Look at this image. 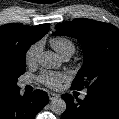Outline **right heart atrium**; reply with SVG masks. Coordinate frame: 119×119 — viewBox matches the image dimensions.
Returning <instances> with one entry per match:
<instances>
[{"instance_id": "right-heart-atrium-1", "label": "right heart atrium", "mask_w": 119, "mask_h": 119, "mask_svg": "<svg viewBox=\"0 0 119 119\" xmlns=\"http://www.w3.org/2000/svg\"><path fill=\"white\" fill-rule=\"evenodd\" d=\"M40 52H41V44H40V42H36V43L32 44L28 48V50L26 51L25 62L30 66L34 65L38 60Z\"/></svg>"}]
</instances>
